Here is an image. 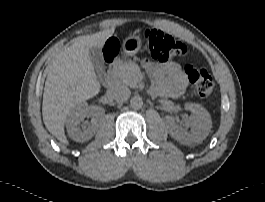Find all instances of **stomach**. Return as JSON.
Wrapping results in <instances>:
<instances>
[{"label": "stomach", "instance_id": "1", "mask_svg": "<svg viewBox=\"0 0 265 202\" xmlns=\"http://www.w3.org/2000/svg\"><path fill=\"white\" fill-rule=\"evenodd\" d=\"M141 46V38L137 35H130L123 41V53L126 56H133L141 49Z\"/></svg>", "mask_w": 265, "mask_h": 202}]
</instances>
